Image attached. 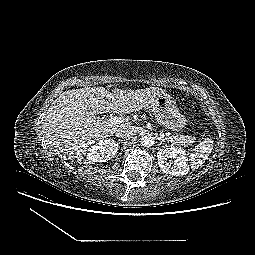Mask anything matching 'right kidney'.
Instances as JSON below:
<instances>
[{
    "label": "right kidney",
    "mask_w": 255,
    "mask_h": 255,
    "mask_svg": "<svg viewBox=\"0 0 255 255\" xmlns=\"http://www.w3.org/2000/svg\"><path fill=\"white\" fill-rule=\"evenodd\" d=\"M118 150V143L114 140H101L88 148L86 158L91 162H106L113 158Z\"/></svg>",
    "instance_id": "ca27d5eb"
}]
</instances>
